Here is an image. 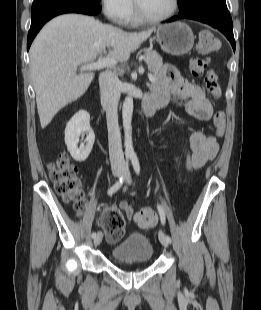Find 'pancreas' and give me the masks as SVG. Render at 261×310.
I'll return each instance as SVG.
<instances>
[{"label":"pancreas","instance_id":"obj_1","mask_svg":"<svg viewBox=\"0 0 261 310\" xmlns=\"http://www.w3.org/2000/svg\"><path fill=\"white\" fill-rule=\"evenodd\" d=\"M144 60L148 65L149 70L154 73V77L156 78L155 82H153L150 86V88L153 90L161 81V68L163 65L162 58L152 51H147L145 53Z\"/></svg>","mask_w":261,"mask_h":310}]
</instances>
